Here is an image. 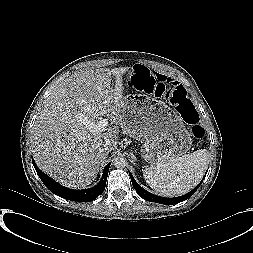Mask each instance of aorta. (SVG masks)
<instances>
[{
    "label": "aorta",
    "mask_w": 253,
    "mask_h": 253,
    "mask_svg": "<svg viewBox=\"0 0 253 253\" xmlns=\"http://www.w3.org/2000/svg\"><path fill=\"white\" fill-rule=\"evenodd\" d=\"M113 165L115 168L122 169L127 165V161L123 157H115L113 160Z\"/></svg>",
    "instance_id": "aorta-1"
}]
</instances>
